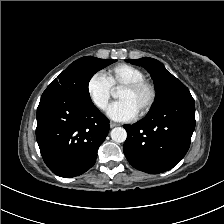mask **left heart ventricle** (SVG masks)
I'll return each instance as SVG.
<instances>
[{"instance_id": "1", "label": "left heart ventricle", "mask_w": 224, "mask_h": 224, "mask_svg": "<svg viewBox=\"0 0 224 224\" xmlns=\"http://www.w3.org/2000/svg\"><path fill=\"white\" fill-rule=\"evenodd\" d=\"M147 97L148 93L144 89L135 92L126 89H120L118 92V99L130 102L138 112L146 102Z\"/></svg>"}]
</instances>
